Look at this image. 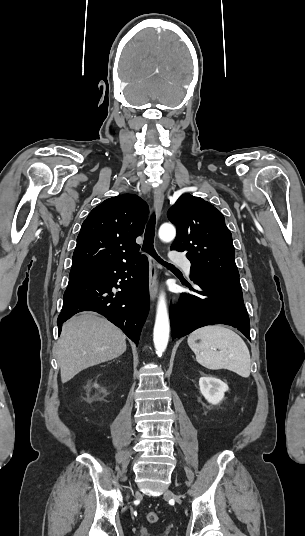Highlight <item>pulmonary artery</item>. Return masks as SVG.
Masks as SVG:
<instances>
[{
	"label": "pulmonary artery",
	"mask_w": 305,
	"mask_h": 536,
	"mask_svg": "<svg viewBox=\"0 0 305 536\" xmlns=\"http://www.w3.org/2000/svg\"><path fill=\"white\" fill-rule=\"evenodd\" d=\"M171 253H174V250H171ZM170 261L172 263H176V264H181V266L183 267V269L187 272V273H190V269H191V262L189 260H186V257L184 254L182 253H176V254H172L170 256Z\"/></svg>",
	"instance_id": "1"
}]
</instances>
